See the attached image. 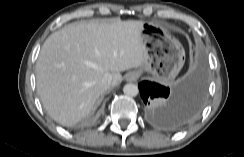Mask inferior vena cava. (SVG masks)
I'll use <instances>...</instances> for the list:
<instances>
[{
    "label": "inferior vena cava",
    "instance_id": "1",
    "mask_svg": "<svg viewBox=\"0 0 244 157\" xmlns=\"http://www.w3.org/2000/svg\"><path fill=\"white\" fill-rule=\"evenodd\" d=\"M103 82H104L105 84L110 85L111 82H112V75H111V74H106V75L104 76V78H103Z\"/></svg>",
    "mask_w": 244,
    "mask_h": 157
}]
</instances>
